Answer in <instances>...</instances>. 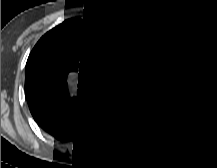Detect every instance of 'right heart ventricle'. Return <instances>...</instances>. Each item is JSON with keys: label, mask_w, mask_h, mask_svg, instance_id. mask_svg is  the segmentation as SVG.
<instances>
[{"label": "right heart ventricle", "mask_w": 217, "mask_h": 168, "mask_svg": "<svg viewBox=\"0 0 217 168\" xmlns=\"http://www.w3.org/2000/svg\"><path fill=\"white\" fill-rule=\"evenodd\" d=\"M123 34H124L123 30L119 28H115L110 32V35L119 41L123 39L124 36Z\"/></svg>", "instance_id": "right-heart-ventricle-1"}]
</instances>
